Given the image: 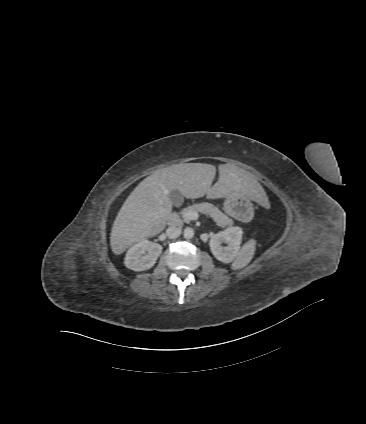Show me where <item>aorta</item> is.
<instances>
[{"label":"aorta","instance_id":"obj_1","mask_svg":"<svg viewBox=\"0 0 366 424\" xmlns=\"http://www.w3.org/2000/svg\"><path fill=\"white\" fill-rule=\"evenodd\" d=\"M183 235H184V238H186V239L193 238L194 237V229L190 228V227L185 228Z\"/></svg>","mask_w":366,"mask_h":424}]
</instances>
